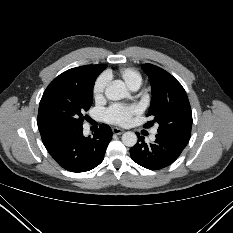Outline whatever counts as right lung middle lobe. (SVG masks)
<instances>
[{
  "label": "right lung middle lobe",
  "mask_w": 233,
  "mask_h": 233,
  "mask_svg": "<svg viewBox=\"0 0 233 233\" xmlns=\"http://www.w3.org/2000/svg\"><path fill=\"white\" fill-rule=\"evenodd\" d=\"M98 73L77 82L59 83L45 90L38 111L40 134L82 127L83 113L92 105L93 86Z\"/></svg>",
  "instance_id": "1"
}]
</instances>
